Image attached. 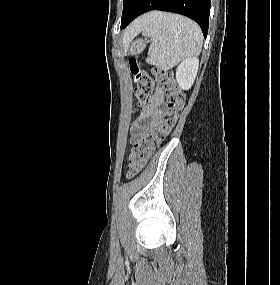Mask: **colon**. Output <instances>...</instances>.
Segmentation results:
<instances>
[{
	"mask_svg": "<svg viewBox=\"0 0 280 285\" xmlns=\"http://www.w3.org/2000/svg\"><path fill=\"white\" fill-rule=\"evenodd\" d=\"M134 77V95L138 106H146L150 100L155 84H158L165 98L166 115L154 122L151 128L133 144L128 157L127 174L134 177L146 165L151 154L166 139L175 125L178 114L184 106V94L178 88L170 71L155 68L152 73L142 70L136 60L129 63Z\"/></svg>",
	"mask_w": 280,
	"mask_h": 285,
	"instance_id": "colon-1",
	"label": "colon"
}]
</instances>
